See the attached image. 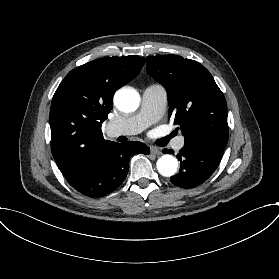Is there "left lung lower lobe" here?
Listing matches in <instances>:
<instances>
[{
    "label": "left lung lower lobe",
    "instance_id": "1",
    "mask_svg": "<svg viewBox=\"0 0 279 279\" xmlns=\"http://www.w3.org/2000/svg\"><path fill=\"white\" fill-rule=\"evenodd\" d=\"M164 153H171L164 149ZM223 151L205 145H184L177 155L180 171L171 183L182 188H193L205 182L219 165Z\"/></svg>",
    "mask_w": 279,
    "mask_h": 279
}]
</instances>
